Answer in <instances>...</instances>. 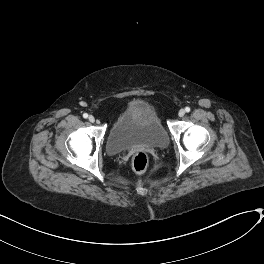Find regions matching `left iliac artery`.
<instances>
[{
    "instance_id": "left-iliac-artery-1",
    "label": "left iliac artery",
    "mask_w": 264,
    "mask_h": 264,
    "mask_svg": "<svg viewBox=\"0 0 264 264\" xmlns=\"http://www.w3.org/2000/svg\"><path fill=\"white\" fill-rule=\"evenodd\" d=\"M185 111L186 112H190V108L189 107H185Z\"/></svg>"
}]
</instances>
